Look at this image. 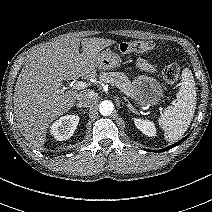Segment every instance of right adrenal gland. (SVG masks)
<instances>
[{
  "label": "right adrenal gland",
  "instance_id": "1",
  "mask_svg": "<svg viewBox=\"0 0 212 212\" xmlns=\"http://www.w3.org/2000/svg\"><path fill=\"white\" fill-rule=\"evenodd\" d=\"M76 107L78 108H83L84 106L80 105V104H75Z\"/></svg>",
  "mask_w": 212,
  "mask_h": 212
}]
</instances>
